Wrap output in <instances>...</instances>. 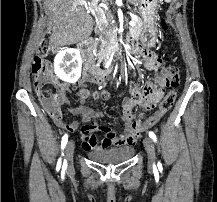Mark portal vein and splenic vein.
Masks as SVG:
<instances>
[{
    "label": "portal vein and splenic vein",
    "mask_w": 217,
    "mask_h": 202,
    "mask_svg": "<svg viewBox=\"0 0 217 202\" xmlns=\"http://www.w3.org/2000/svg\"><path fill=\"white\" fill-rule=\"evenodd\" d=\"M94 2H100V0H94ZM129 26H135L134 18H132L131 22H129Z\"/></svg>",
    "instance_id": "portal-vein-and-splenic-vein-1"
}]
</instances>
